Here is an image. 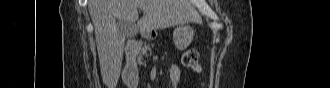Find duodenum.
<instances>
[{
    "instance_id": "duodenum-1",
    "label": "duodenum",
    "mask_w": 330,
    "mask_h": 88,
    "mask_svg": "<svg viewBox=\"0 0 330 88\" xmlns=\"http://www.w3.org/2000/svg\"><path fill=\"white\" fill-rule=\"evenodd\" d=\"M140 45L137 41L135 40H129L127 43H126V46H125V53H126V56H127V64H126V67H125V70H124V75H125V78L128 79L130 78L131 76H134L135 75V72H136V52L138 51ZM134 66V70H131V67ZM136 77L133 78V79H129V83L131 84H135L136 83Z\"/></svg>"
}]
</instances>
